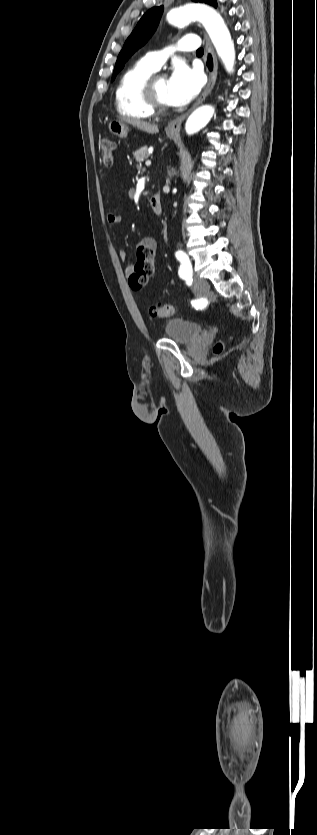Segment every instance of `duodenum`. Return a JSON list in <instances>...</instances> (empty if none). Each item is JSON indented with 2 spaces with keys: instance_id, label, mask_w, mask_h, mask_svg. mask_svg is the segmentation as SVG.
<instances>
[{
  "instance_id": "410a0bca",
  "label": "duodenum",
  "mask_w": 317,
  "mask_h": 835,
  "mask_svg": "<svg viewBox=\"0 0 317 835\" xmlns=\"http://www.w3.org/2000/svg\"><path fill=\"white\" fill-rule=\"evenodd\" d=\"M150 207L155 214H160L162 212V202L159 194H154L150 198Z\"/></svg>"
}]
</instances>
